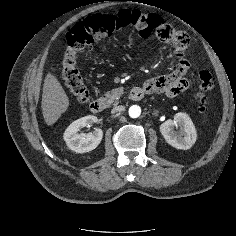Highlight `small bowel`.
<instances>
[{
  "instance_id": "obj_1",
  "label": "small bowel",
  "mask_w": 236,
  "mask_h": 236,
  "mask_svg": "<svg viewBox=\"0 0 236 236\" xmlns=\"http://www.w3.org/2000/svg\"><path fill=\"white\" fill-rule=\"evenodd\" d=\"M184 38L183 44L174 42L175 53L178 59V65L174 72L171 74L157 77L147 81L143 88L146 94H165V95H176L187 89V81L184 76L189 69L190 62L186 58L185 53L188 47V37L181 33ZM186 84L184 90H180V85Z\"/></svg>"
}]
</instances>
